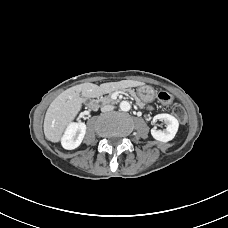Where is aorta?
Segmentation results:
<instances>
[{
	"instance_id": "762f6f07",
	"label": "aorta",
	"mask_w": 228,
	"mask_h": 228,
	"mask_svg": "<svg viewBox=\"0 0 228 228\" xmlns=\"http://www.w3.org/2000/svg\"><path fill=\"white\" fill-rule=\"evenodd\" d=\"M130 108H131V105H130V103H129L128 101H122V102L120 103V109H121L122 111H129Z\"/></svg>"
}]
</instances>
